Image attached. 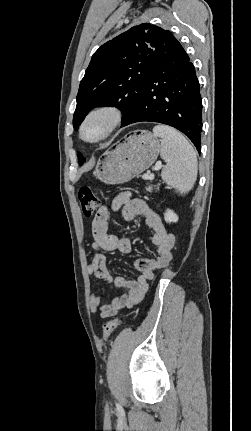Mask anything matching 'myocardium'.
Instances as JSON below:
<instances>
[{
    "instance_id": "myocardium-1",
    "label": "myocardium",
    "mask_w": 251,
    "mask_h": 431,
    "mask_svg": "<svg viewBox=\"0 0 251 431\" xmlns=\"http://www.w3.org/2000/svg\"><path fill=\"white\" fill-rule=\"evenodd\" d=\"M95 118H103L105 121L104 129L102 133L94 138L88 139L84 135V130L87 124L95 119ZM123 119V114L120 109L114 106L102 105L91 109L82 119L79 126V137L86 143L96 144L99 143L106 138H108L121 124Z\"/></svg>"
}]
</instances>
